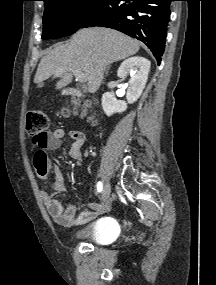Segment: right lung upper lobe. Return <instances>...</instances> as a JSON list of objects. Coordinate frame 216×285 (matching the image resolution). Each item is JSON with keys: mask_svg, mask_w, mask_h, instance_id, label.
Wrapping results in <instances>:
<instances>
[{"mask_svg": "<svg viewBox=\"0 0 216 285\" xmlns=\"http://www.w3.org/2000/svg\"><path fill=\"white\" fill-rule=\"evenodd\" d=\"M42 1H44V3H47V2L50 1V0H42Z\"/></svg>", "mask_w": 216, "mask_h": 285, "instance_id": "right-lung-upper-lobe-1", "label": "right lung upper lobe"}]
</instances>
